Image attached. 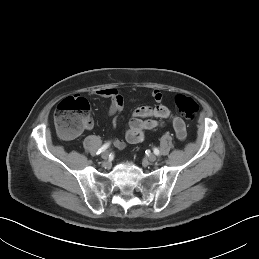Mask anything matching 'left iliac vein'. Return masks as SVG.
Wrapping results in <instances>:
<instances>
[{"mask_svg": "<svg viewBox=\"0 0 259 259\" xmlns=\"http://www.w3.org/2000/svg\"><path fill=\"white\" fill-rule=\"evenodd\" d=\"M156 159H157V156L154 155V154H150V155L147 157V160H148L149 162H155Z\"/></svg>", "mask_w": 259, "mask_h": 259, "instance_id": "1", "label": "left iliac vein"}]
</instances>
